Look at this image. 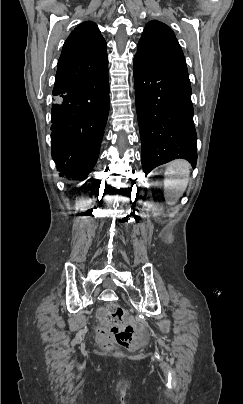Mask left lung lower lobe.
Masks as SVG:
<instances>
[{
    "mask_svg": "<svg viewBox=\"0 0 243 404\" xmlns=\"http://www.w3.org/2000/svg\"><path fill=\"white\" fill-rule=\"evenodd\" d=\"M134 83L144 172L176 158L195 168L197 134L188 74L134 57Z\"/></svg>",
    "mask_w": 243,
    "mask_h": 404,
    "instance_id": "0a47b994",
    "label": "left lung lower lobe"
}]
</instances>
